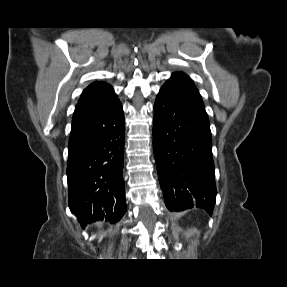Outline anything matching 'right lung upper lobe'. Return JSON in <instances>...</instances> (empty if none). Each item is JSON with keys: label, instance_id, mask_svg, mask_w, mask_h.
<instances>
[{"label": "right lung upper lobe", "instance_id": "1", "mask_svg": "<svg viewBox=\"0 0 287 287\" xmlns=\"http://www.w3.org/2000/svg\"><path fill=\"white\" fill-rule=\"evenodd\" d=\"M116 100L118 99L111 85L105 82H94L83 91L73 117L102 110Z\"/></svg>", "mask_w": 287, "mask_h": 287}]
</instances>
